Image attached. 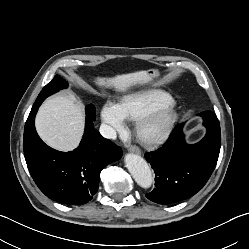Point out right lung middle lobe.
Returning a JSON list of instances; mask_svg holds the SVG:
<instances>
[{
    "mask_svg": "<svg viewBox=\"0 0 249 249\" xmlns=\"http://www.w3.org/2000/svg\"><path fill=\"white\" fill-rule=\"evenodd\" d=\"M68 83L64 81L60 76H55L54 79L48 83L40 92L39 96L36 100H44L49 95L59 91L60 89L66 88ZM96 109L94 105L90 104L86 107V117L91 120H95L96 118Z\"/></svg>",
    "mask_w": 249,
    "mask_h": 249,
    "instance_id": "dd1d6c3e",
    "label": "right lung middle lobe"
}]
</instances>
